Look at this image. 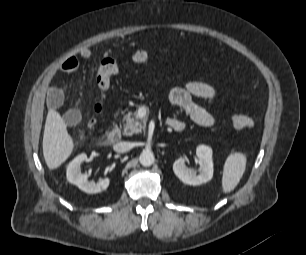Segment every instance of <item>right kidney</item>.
I'll return each instance as SVG.
<instances>
[{
    "instance_id": "right-kidney-1",
    "label": "right kidney",
    "mask_w": 306,
    "mask_h": 255,
    "mask_svg": "<svg viewBox=\"0 0 306 255\" xmlns=\"http://www.w3.org/2000/svg\"><path fill=\"white\" fill-rule=\"evenodd\" d=\"M86 159H87V155L83 153L75 157L68 164L67 170H66L67 180L71 184L78 186L79 189L89 194H95L103 190H106L110 183L109 178L100 180L97 183L89 182L87 174L81 173V164Z\"/></svg>"
}]
</instances>
